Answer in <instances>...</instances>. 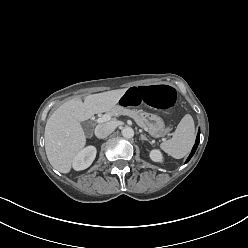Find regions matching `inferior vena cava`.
<instances>
[{
	"mask_svg": "<svg viewBox=\"0 0 248 248\" xmlns=\"http://www.w3.org/2000/svg\"><path fill=\"white\" fill-rule=\"evenodd\" d=\"M115 127L112 123L99 124L95 128V135L97 138H106L114 131Z\"/></svg>",
	"mask_w": 248,
	"mask_h": 248,
	"instance_id": "inferior-vena-cava-1",
	"label": "inferior vena cava"
}]
</instances>
